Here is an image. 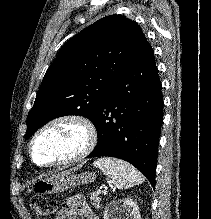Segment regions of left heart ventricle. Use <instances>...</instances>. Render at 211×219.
Returning a JSON list of instances; mask_svg holds the SVG:
<instances>
[{
    "label": "left heart ventricle",
    "instance_id": "b2bd125f",
    "mask_svg": "<svg viewBox=\"0 0 211 219\" xmlns=\"http://www.w3.org/2000/svg\"><path fill=\"white\" fill-rule=\"evenodd\" d=\"M84 143L83 130L74 123H61L45 130L33 146V156L41 164L67 159Z\"/></svg>",
    "mask_w": 211,
    "mask_h": 219
}]
</instances>
